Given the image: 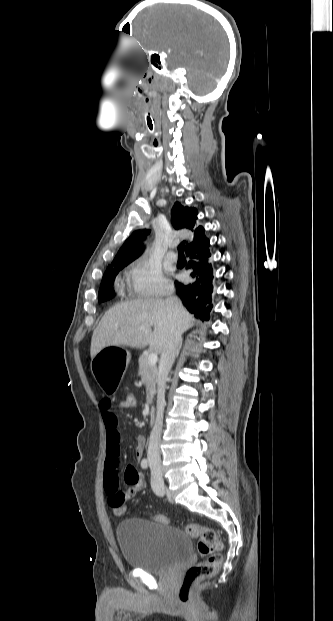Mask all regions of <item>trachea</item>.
Listing matches in <instances>:
<instances>
[{
	"label": "trachea",
	"instance_id": "trachea-1",
	"mask_svg": "<svg viewBox=\"0 0 333 621\" xmlns=\"http://www.w3.org/2000/svg\"><path fill=\"white\" fill-rule=\"evenodd\" d=\"M184 246H185V242L180 243V245L178 246L179 254H184Z\"/></svg>",
	"mask_w": 333,
	"mask_h": 621
}]
</instances>
